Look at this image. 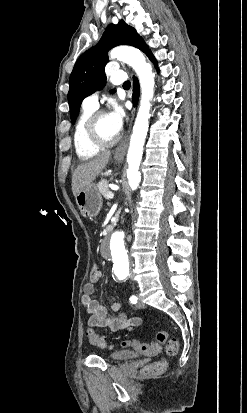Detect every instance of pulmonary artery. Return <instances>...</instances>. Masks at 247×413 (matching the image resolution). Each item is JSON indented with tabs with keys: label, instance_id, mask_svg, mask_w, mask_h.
Listing matches in <instances>:
<instances>
[{
	"label": "pulmonary artery",
	"instance_id": "obj_1",
	"mask_svg": "<svg viewBox=\"0 0 247 413\" xmlns=\"http://www.w3.org/2000/svg\"><path fill=\"white\" fill-rule=\"evenodd\" d=\"M125 70L122 68H119L115 74H112L110 76L107 77V81L113 85L116 84H121V81H125ZM99 90H95L92 93H90L89 95H87L84 99V102L86 104V106H88L89 108H96L98 105V97H99Z\"/></svg>",
	"mask_w": 247,
	"mask_h": 413
}]
</instances>
